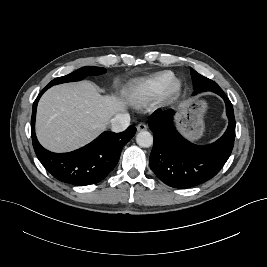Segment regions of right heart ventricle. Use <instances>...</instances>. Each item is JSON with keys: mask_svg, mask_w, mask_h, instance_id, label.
Masks as SVG:
<instances>
[{"mask_svg": "<svg viewBox=\"0 0 267 267\" xmlns=\"http://www.w3.org/2000/svg\"><path fill=\"white\" fill-rule=\"evenodd\" d=\"M175 79L171 71H161L136 81L128 91L133 104H146L159 98L168 84Z\"/></svg>", "mask_w": 267, "mask_h": 267, "instance_id": "e07e8e85", "label": "right heart ventricle"}]
</instances>
